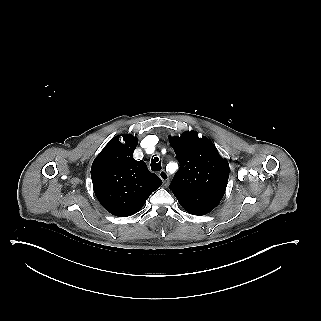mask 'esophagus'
I'll return each instance as SVG.
<instances>
[{
	"instance_id": "34e87169",
	"label": "esophagus",
	"mask_w": 321,
	"mask_h": 321,
	"mask_svg": "<svg viewBox=\"0 0 321 321\" xmlns=\"http://www.w3.org/2000/svg\"><path fill=\"white\" fill-rule=\"evenodd\" d=\"M159 177H160L161 180L163 181L164 186H167L168 183H169V175L167 174V172L164 171V170H162V171L159 173Z\"/></svg>"
}]
</instances>
